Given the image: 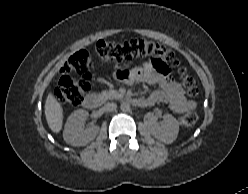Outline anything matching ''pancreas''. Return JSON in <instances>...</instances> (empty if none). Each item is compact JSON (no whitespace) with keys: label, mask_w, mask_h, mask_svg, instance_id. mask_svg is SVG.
<instances>
[{"label":"pancreas","mask_w":248,"mask_h":194,"mask_svg":"<svg viewBox=\"0 0 248 194\" xmlns=\"http://www.w3.org/2000/svg\"><path fill=\"white\" fill-rule=\"evenodd\" d=\"M100 97L103 100H113V99H118L122 97V94H120L116 90H109V91H103L100 93Z\"/></svg>","instance_id":"cf45deb5"}]
</instances>
